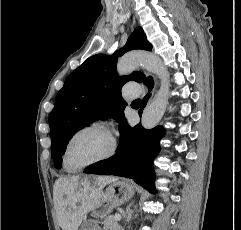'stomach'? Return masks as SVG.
Instances as JSON below:
<instances>
[{
	"label": "stomach",
	"instance_id": "stomach-1",
	"mask_svg": "<svg viewBox=\"0 0 241 230\" xmlns=\"http://www.w3.org/2000/svg\"><path fill=\"white\" fill-rule=\"evenodd\" d=\"M133 195L134 188L129 182L121 180L110 183L93 210V216L100 219L106 218L115 207L127 202ZM79 230H101V228L98 223L86 220Z\"/></svg>",
	"mask_w": 241,
	"mask_h": 230
}]
</instances>
